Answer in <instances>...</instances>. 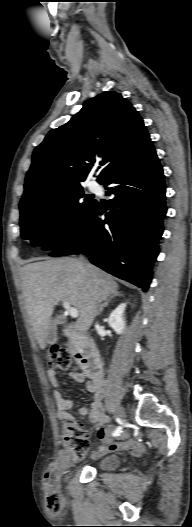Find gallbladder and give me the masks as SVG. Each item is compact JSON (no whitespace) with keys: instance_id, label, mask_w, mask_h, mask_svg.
<instances>
[{"instance_id":"1","label":"gallbladder","mask_w":192,"mask_h":527,"mask_svg":"<svg viewBox=\"0 0 192 527\" xmlns=\"http://www.w3.org/2000/svg\"><path fill=\"white\" fill-rule=\"evenodd\" d=\"M64 323L63 316H56L50 323L47 332L46 344L52 345L57 342V325Z\"/></svg>"}]
</instances>
